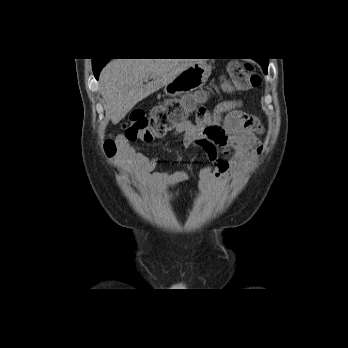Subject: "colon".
Returning a JSON list of instances; mask_svg holds the SVG:
<instances>
[{
	"instance_id": "obj_1",
	"label": "colon",
	"mask_w": 348,
	"mask_h": 348,
	"mask_svg": "<svg viewBox=\"0 0 348 348\" xmlns=\"http://www.w3.org/2000/svg\"><path fill=\"white\" fill-rule=\"evenodd\" d=\"M232 87L245 91L260 85V76L250 64L232 62L229 65ZM190 103L180 98H166L146 115L143 110H133L124 124V137L128 141L152 142L186 122ZM198 117V112H197ZM196 117V118H197ZM108 157L118 152V144L108 139L104 144Z\"/></svg>"
}]
</instances>
